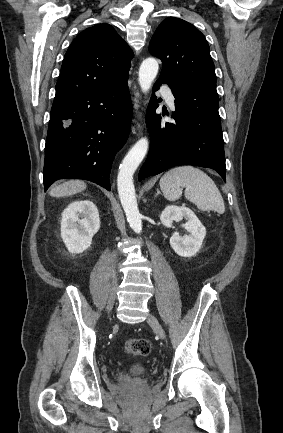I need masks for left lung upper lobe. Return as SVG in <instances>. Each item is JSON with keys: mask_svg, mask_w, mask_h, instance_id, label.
Masks as SVG:
<instances>
[{"mask_svg": "<svg viewBox=\"0 0 283 433\" xmlns=\"http://www.w3.org/2000/svg\"><path fill=\"white\" fill-rule=\"evenodd\" d=\"M163 64L159 79L176 89L177 107L220 122L215 66L204 35L175 17L164 19L149 43Z\"/></svg>", "mask_w": 283, "mask_h": 433, "instance_id": "left-lung-upper-lobe-1", "label": "left lung upper lobe"}]
</instances>
